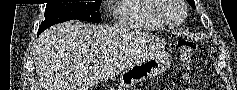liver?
<instances>
[{
    "mask_svg": "<svg viewBox=\"0 0 237 90\" xmlns=\"http://www.w3.org/2000/svg\"><path fill=\"white\" fill-rule=\"evenodd\" d=\"M117 28L64 22L40 36L36 60L41 90H89L117 72Z\"/></svg>",
    "mask_w": 237,
    "mask_h": 90,
    "instance_id": "6515ba94",
    "label": "liver"
}]
</instances>
